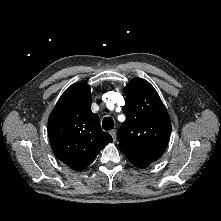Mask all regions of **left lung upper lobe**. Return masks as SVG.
Masks as SVG:
<instances>
[{"instance_id":"obj_1","label":"left lung upper lobe","mask_w":221,"mask_h":221,"mask_svg":"<svg viewBox=\"0 0 221 221\" xmlns=\"http://www.w3.org/2000/svg\"><path fill=\"white\" fill-rule=\"evenodd\" d=\"M126 120L118 132L119 148L137 167L146 168L164 153L171 121L154 87L135 78L124 90Z\"/></svg>"}]
</instances>
